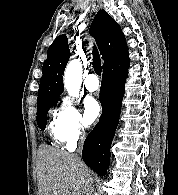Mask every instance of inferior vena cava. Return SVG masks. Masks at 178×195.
Segmentation results:
<instances>
[{
  "label": "inferior vena cava",
  "mask_w": 178,
  "mask_h": 195,
  "mask_svg": "<svg viewBox=\"0 0 178 195\" xmlns=\"http://www.w3.org/2000/svg\"><path fill=\"white\" fill-rule=\"evenodd\" d=\"M83 142H84V138L82 137L81 142L78 146V149L76 150V153L73 154L79 161H81V152L83 148ZM93 193H94V187L92 186L89 195H93Z\"/></svg>",
  "instance_id": "obj_1"
}]
</instances>
